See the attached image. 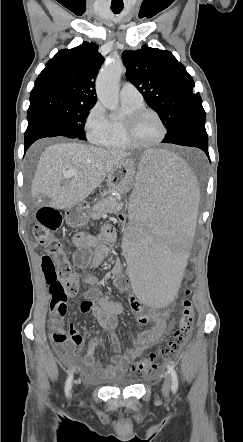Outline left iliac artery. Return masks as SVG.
I'll return each instance as SVG.
<instances>
[{"mask_svg": "<svg viewBox=\"0 0 243 442\" xmlns=\"http://www.w3.org/2000/svg\"><path fill=\"white\" fill-rule=\"evenodd\" d=\"M168 372L170 374L171 377V388L173 393H176L178 390V377H177V373L174 369L173 366L168 365Z\"/></svg>", "mask_w": 243, "mask_h": 442, "instance_id": "44dca946", "label": "left iliac artery"}]
</instances>
